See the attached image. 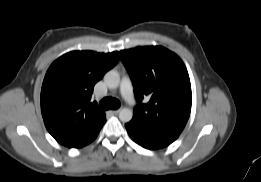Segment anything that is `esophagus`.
I'll list each match as a JSON object with an SVG mask.
<instances>
[{
	"label": "esophagus",
	"instance_id": "34e87169",
	"mask_svg": "<svg viewBox=\"0 0 261 182\" xmlns=\"http://www.w3.org/2000/svg\"><path fill=\"white\" fill-rule=\"evenodd\" d=\"M119 111H120V109H116V110H112L111 112L116 115L119 113Z\"/></svg>",
	"mask_w": 261,
	"mask_h": 182
}]
</instances>
